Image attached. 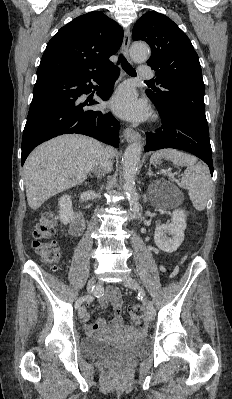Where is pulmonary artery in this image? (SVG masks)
Masks as SVG:
<instances>
[{"instance_id": "e3ab8cb5", "label": "pulmonary artery", "mask_w": 232, "mask_h": 399, "mask_svg": "<svg viewBox=\"0 0 232 399\" xmlns=\"http://www.w3.org/2000/svg\"><path fill=\"white\" fill-rule=\"evenodd\" d=\"M140 68L142 69V73L140 75L141 80H153L155 74L154 69H146L147 65L145 63H142Z\"/></svg>"}]
</instances>
